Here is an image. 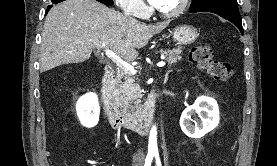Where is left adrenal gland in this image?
<instances>
[{"label":"left adrenal gland","mask_w":277,"mask_h":166,"mask_svg":"<svg viewBox=\"0 0 277 166\" xmlns=\"http://www.w3.org/2000/svg\"><path fill=\"white\" fill-rule=\"evenodd\" d=\"M171 71H172V70H168V71L166 72L165 80H164L165 83L167 82V80H168V75H169V73H170Z\"/></svg>","instance_id":"a2214340"}]
</instances>
